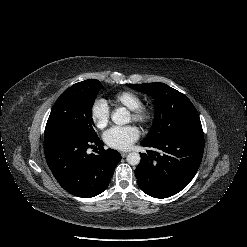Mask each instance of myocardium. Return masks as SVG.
<instances>
[{
  "label": "myocardium",
  "mask_w": 247,
  "mask_h": 247,
  "mask_svg": "<svg viewBox=\"0 0 247 247\" xmlns=\"http://www.w3.org/2000/svg\"><path fill=\"white\" fill-rule=\"evenodd\" d=\"M132 120L140 124H147L152 118V111L145 105H139L136 108L130 109Z\"/></svg>",
  "instance_id": "1"
}]
</instances>
